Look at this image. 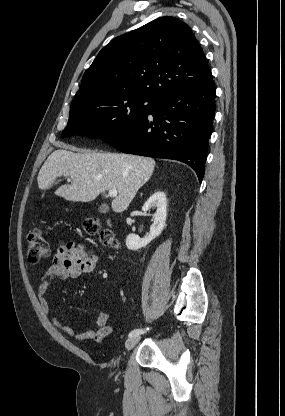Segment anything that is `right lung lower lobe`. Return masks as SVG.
Wrapping results in <instances>:
<instances>
[{
    "mask_svg": "<svg viewBox=\"0 0 285 416\" xmlns=\"http://www.w3.org/2000/svg\"><path fill=\"white\" fill-rule=\"evenodd\" d=\"M215 93L211 79L174 94L131 127L102 140L124 153L184 162L201 182L215 113Z\"/></svg>",
    "mask_w": 285,
    "mask_h": 416,
    "instance_id": "1",
    "label": "right lung lower lobe"
}]
</instances>
